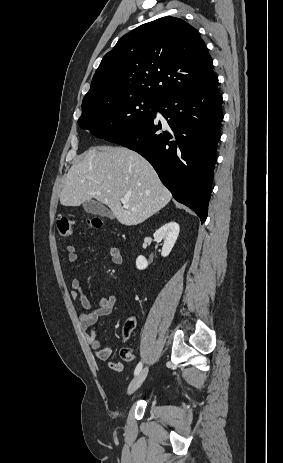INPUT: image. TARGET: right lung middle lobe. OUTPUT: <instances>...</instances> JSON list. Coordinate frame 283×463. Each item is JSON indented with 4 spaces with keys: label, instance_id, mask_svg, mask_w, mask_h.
Here are the masks:
<instances>
[{
    "label": "right lung middle lobe",
    "instance_id": "dd1d6c3e",
    "mask_svg": "<svg viewBox=\"0 0 283 463\" xmlns=\"http://www.w3.org/2000/svg\"><path fill=\"white\" fill-rule=\"evenodd\" d=\"M159 101L140 95H111L82 105L81 128L105 140L147 121Z\"/></svg>",
    "mask_w": 283,
    "mask_h": 463
}]
</instances>
